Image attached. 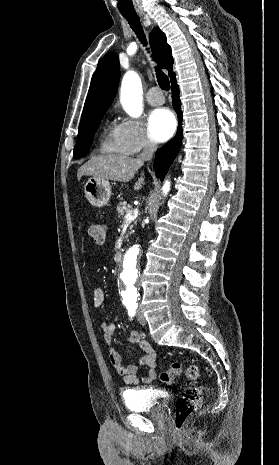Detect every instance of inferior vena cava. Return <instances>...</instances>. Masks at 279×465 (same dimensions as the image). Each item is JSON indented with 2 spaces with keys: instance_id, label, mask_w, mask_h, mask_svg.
<instances>
[{
  "instance_id": "obj_1",
  "label": "inferior vena cava",
  "mask_w": 279,
  "mask_h": 465,
  "mask_svg": "<svg viewBox=\"0 0 279 465\" xmlns=\"http://www.w3.org/2000/svg\"><path fill=\"white\" fill-rule=\"evenodd\" d=\"M157 149V144L155 141L148 139L145 143L142 153L139 155V161L144 162L151 160L155 150Z\"/></svg>"
}]
</instances>
